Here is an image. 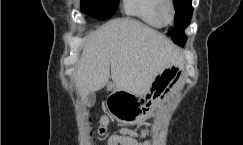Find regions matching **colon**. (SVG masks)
Returning a JSON list of instances; mask_svg holds the SVG:
<instances>
[{
  "instance_id": "colon-1",
  "label": "colon",
  "mask_w": 243,
  "mask_h": 145,
  "mask_svg": "<svg viewBox=\"0 0 243 145\" xmlns=\"http://www.w3.org/2000/svg\"><path fill=\"white\" fill-rule=\"evenodd\" d=\"M106 131H107V122H106V120H102V123H101V125L99 127V133L101 135H105Z\"/></svg>"
}]
</instances>
